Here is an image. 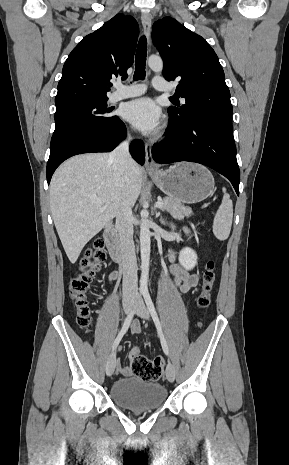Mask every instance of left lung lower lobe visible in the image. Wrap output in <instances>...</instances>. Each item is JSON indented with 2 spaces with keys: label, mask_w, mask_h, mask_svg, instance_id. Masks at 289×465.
Instances as JSON below:
<instances>
[{
  "label": "left lung lower lobe",
  "mask_w": 289,
  "mask_h": 465,
  "mask_svg": "<svg viewBox=\"0 0 289 465\" xmlns=\"http://www.w3.org/2000/svg\"><path fill=\"white\" fill-rule=\"evenodd\" d=\"M170 119L167 138L152 148L155 161L160 164L189 161L206 165L228 178L239 195L240 170L232 123L202 118L186 122Z\"/></svg>",
  "instance_id": "obj_1"
}]
</instances>
